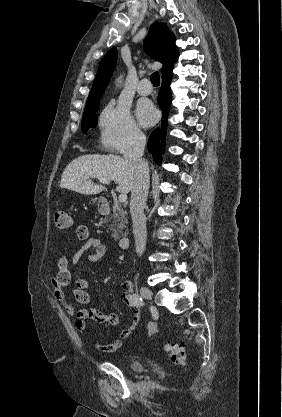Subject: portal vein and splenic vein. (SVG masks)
<instances>
[{
	"label": "portal vein and splenic vein",
	"mask_w": 282,
	"mask_h": 417,
	"mask_svg": "<svg viewBox=\"0 0 282 417\" xmlns=\"http://www.w3.org/2000/svg\"><path fill=\"white\" fill-rule=\"evenodd\" d=\"M100 182H103V184H109L110 180H107V178H99ZM119 200L120 202H126L127 200V192H122V194H119Z\"/></svg>",
	"instance_id": "obj_1"
}]
</instances>
